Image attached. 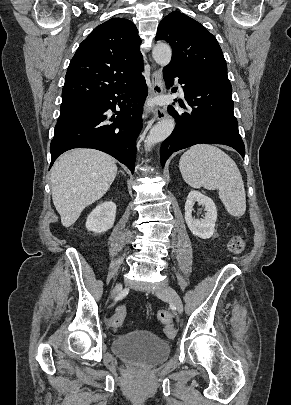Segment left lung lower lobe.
<instances>
[{
  "mask_svg": "<svg viewBox=\"0 0 291 405\" xmlns=\"http://www.w3.org/2000/svg\"><path fill=\"white\" fill-rule=\"evenodd\" d=\"M163 73L168 88L173 83L172 77L179 78L191 108L182 113L168 106L169 114L176 119V127L161 145L162 167L172 153L202 143L228 145L244 158L245 147L233 112L230 81L187 75L170 67H165ZM179 103L185 108L184 104Z\"/></svg>",
  "mask_w": 291,
  "mask_h": 405,
  "instance_id": "0a47b994",
  "label": "left lung lower lobe"
}]
</instances>
